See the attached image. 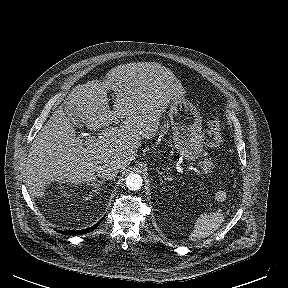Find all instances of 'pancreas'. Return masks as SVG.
I'll return each mask as SVG.
<instances>
[{
  "mask_svg": "<svg viewBox=\"0 0 288 288\" xmlns=\"http://www.w3.org/2000/svg\"><path fill=\"white\" fill-rule=\"evenodd\" d=\"M201 168L204 170L210 171L211 169L214 168V164L211 162L210 158H205L204 160L199 162Z\"/></svg>",
  "mask_w": 288,
  "mask_h": 288,
  "instance_id": "pancreas-1",
  "label": "pancreas"
}]
</instances>
